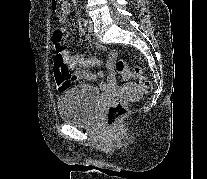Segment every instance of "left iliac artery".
<instances>
[{
  "label": "left iliac artery",
  "mask_w": 207,
  "mask_h": 179,
  "mask_svg": "<svg viewBox=\"0 0 207 179\" xmlns=\"http://www.w3.org/2000/svg\"><path fill=\"white\" fill-rule=\"evenodd\" d=\"M83 23H84L85 26H87V24H88L87 19H84Z\"/></svg>",
  "instance_id": "44dca946"
}]
</instances>
